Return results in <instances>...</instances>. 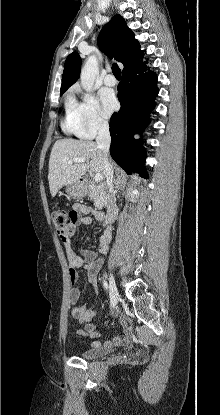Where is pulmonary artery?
Returning <instances> with one entry per match:
<instances>
[{"mask_svg": "<svg viewBox=\"0 0 220 415\" xmlns=\"http://www.w3.org/2000/svg\"><path fill=\"white\" fill-rule=\"evenodd\" d=\"M104 84L107 86H115L117 84V80L113 74L109 73L104 77Z\"/></svg>", "mask_w": 220, "mask_h": 415, "instance_id": "1", "label": "pulmonary artery"}]
</instances>
